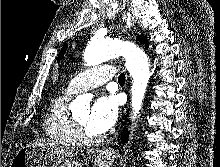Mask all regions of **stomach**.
Listing matches in <instances>:
<instances>
[{
	"label": "stomach",
	"instance_id": "obj_1",
	"mask_svg": "<svg viewBox=\"0 0 220 167\" xmlns=\"http://www.w3.org/2000/svg\"><path fill=\"white\" fill-rule=\"evenodd\" d=\"M112 157L104 156L95 160L97 167H110ZM11 167H82L74 160H57L49 152L39 146L22 147L11 161Z\"/></svg>",
	"mask_w": 220,
	"mask_h": 167
}]
</instances>
